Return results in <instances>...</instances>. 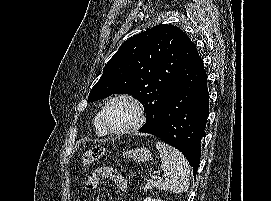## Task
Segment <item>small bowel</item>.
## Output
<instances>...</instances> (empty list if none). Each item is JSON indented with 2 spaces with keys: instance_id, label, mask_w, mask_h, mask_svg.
<instances>
[{
  "instance_id": "small-bowel-1",
  "label": "small bowel",
  "mask_w": 271,
  "mask_h": 201,
  "mask_svg": "<svg viewBox=\"0 0 271 201\" xmlns=\"http://www.w3.org/2000/svg\"><path fill=\"white\" fill-rule=\"evenodd\" d=\"M111 179L116 188L125 192L128 188L127 180L124 176L116 169L108 166H98L95 168L87 177L85 181V187L88 190L96 189L103 179Z\"/></svg>"
}]
</instances>
